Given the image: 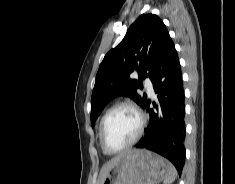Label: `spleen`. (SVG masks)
<instances>
[{
  "label": "spleen",
  "instance_id": "1",
  "mask_svg": "<svg viewBox=\"0 0 235 184\" xmlns=\"http://www.w3.org/2000/svg\"><path fill=\"white\" fill-rule=\"evenodd\" d=\"M177 176H178V174H177L176 168H174L173 164H170V162H168L165 178L163 180V184H173V182H175Z\"/></svg>",
  "mask_w": 235,
  "mask_h": 184
}]
</instances>
